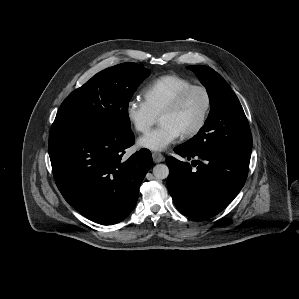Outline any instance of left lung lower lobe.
I'll use <instances>...</instances> for the list:
<instances>
[{"label":"left lung lower lobe","mask_w":299,"mask_h":299,"mask_svg":"<svg viewBox=\"0 0 299 299\" xmlns=\"http://www.w3.org/2000/svg\"><path fill=\"white\" fill-rule=\"evenodd\" d=\"M174 151L191 164L167 157L170 173L167 186L177 209L194 219L220 213L243 187L250 155L238 153L200 154L183 144ZM193 169L192 166H196Z\"/></svg>","instance_id":"0a47b994"}]
</instances>
